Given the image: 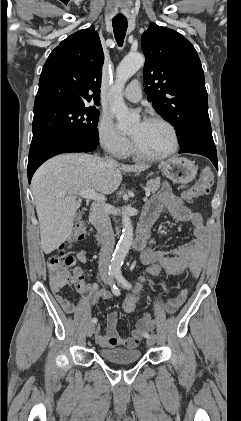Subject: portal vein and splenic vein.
I'll return each mask as SVG.
<instances>
[{"instance_id": "portal-vein-and-splenic-vein-1", "label": "portal vein and splenic vein", "mask_w": 241, "mask_h": 421, "mask_svg": "<svg viewBox=\"0 0 241 421\" xmlns=\"http://www.w3.org/2000/svg\"><path fill=\"white\" fill-rule=\"evenodd\" d=\"M78 195L80 197L86 198V199L105 200V197L104 196L99 195V194H97L94 191H82ZM145 195H146L145 200H147L148 196L150 195V191L149 190H146Z\"/></svg>"}]
</instances>
